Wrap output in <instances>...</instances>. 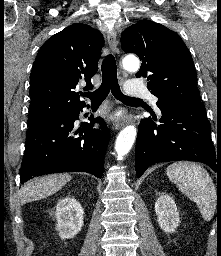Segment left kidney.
I'll return each instance as SVG.
<instances>
[{
	"label": "left kidney",
	"mask_w": 221,
	"mask_h": 256,
	"mask_svg": "<svg viewBox=\"0 0 221 256\" xmlns=\"http://www.w3.org/2000/svg\"><path fill=\"white\" fill-rule=\"evenodd\" d=\"M157 222L160 228L173 233L180 223L179 212L175 201L168 195L162 194L155 203Z\"/></svg>",
	"instance_id": "obj_1"
}]
</instances>
